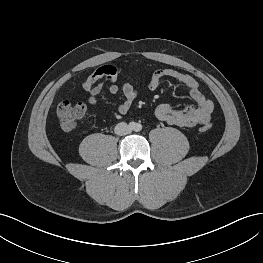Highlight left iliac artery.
I'll use <instances>...</instances> for the list:
<instances>
[{
  "label": "left iliac artery",
  "mask_w": 263,
  "mask_h": 263,
  "mask_svg": "<svg viewBox=\"0 0 263 263\" xmlns=\"http://www.w3.org/2000/svg\"><path fill=\"white\" fill-rule=\"evenodd\" d=\"M141 129H142V126H141L140 124H137L136 130H137V131H140Z\"/></svg>",
  "instance_id": "1"
}]
</instances>
